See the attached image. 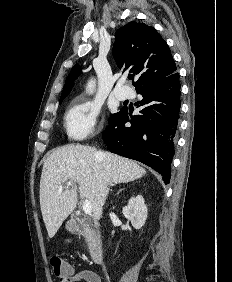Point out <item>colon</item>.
Wrapping results in <instances>:
<instances>
[{"instance_id": "5ec220e1", "label": "colon", "mask_w": 232, "mask_h": 282, "mask_svg": "<svg viewBox=\"0 0 232 282\" xmlns=\"http://www.w3.org/2000/svg\"><path fill=\"white\" fill-rule=\"evenodd\" d=\"M50 265L54 275L60 280V282H68L70 267L63 259H61L58 255H51Z\"/></svg>"}]
</instances>
